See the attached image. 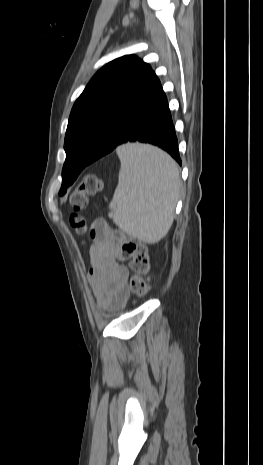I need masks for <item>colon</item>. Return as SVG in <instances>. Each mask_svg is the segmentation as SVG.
I'll return each mask as SVG.
<instances>
[{
    "label": "colon",
    "mask_w": 263,
    "mask_h": 465,
    "mask_svg": "<svg viewBox=\"0 0 263 465\" xmlns=\"http://www.w3.org/2000/svg\"><path fill=\"white\" fill-rule=\"evenodd\" d=\"M102 180L94 173L86 174L69 198L73 213L70 216V224L78 233L94 231L96 227L106 228L103 222L93 223L90 227L81 215L86 208L90 196L95 195L102 188ZM113 237L120 246L121 255L130 259V268L133 275L130 279V291L135 299L144 297L148 291L149 257L146 246L140 241L126 237L121 232L115 231Z\"/></svg>",
    "instance_id": "1"
}]
</instances>
